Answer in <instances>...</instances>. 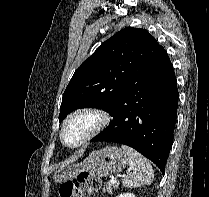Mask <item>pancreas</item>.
Listing matches in <instances>:
<instances>
[{"instance_id": "cf45deb5", "label": "pancreas", "mask_w": 209, "mask_h": 197, "mask_svg": "<svg viewBox=\"0 0 209 197\" xmlns=\"http://www.w3.org/2000/svg\"><path fill=\"white\" fill-rule=\"evenodd\" d=\"M118 187V183L108 182L106 186L103 188V192H107L108 194H112L113 189Z\"/></svg>"}]
</instances>
